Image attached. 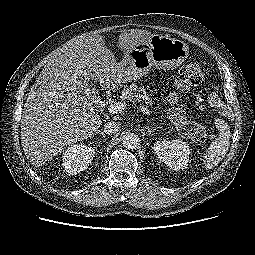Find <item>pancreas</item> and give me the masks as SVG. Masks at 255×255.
Masks as SVG:
<instances>
[{"instance_id":"pancreas-1","label":"pancreas","mask_w":255,"mask_h":255,"mask_svg":"<svg viewBox=\"0 0 255 255\" xmlns=\"http://www.w3.org/2000/svg\"><path fill=\"white\" fill-rule=\"evenodd\" d=\"M121 99L132 102L142 101L150 106L154 104L153 98L150 93L147 92L143 87L137 86L136 84L125 86L121 93Z\"/></svg>"}]
</instances>
